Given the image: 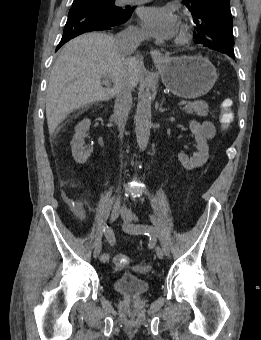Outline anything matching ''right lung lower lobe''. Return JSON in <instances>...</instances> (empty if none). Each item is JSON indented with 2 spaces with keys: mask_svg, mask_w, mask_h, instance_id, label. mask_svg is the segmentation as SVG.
<instances>
[{
  "mask_svg": "<svg viewBox=\"0 0 261 340\" xmlns=\"http://www.w3.org/2000/svg\"><path fill=\"white\" fill-rule=\"evenodd\" d=\"M133 12L128 10L125 15L106 13L98 7L87 5H75L69 11L68 19L64 27L62 39L57 48H60L70 39L90 31H102L113 26L125 23Z\"/></svg>",
  "mask_w": 261,
  "mask_h": 340,
  "instance_id": "obj_1",
  "label": "right lung lower lobe"
}]
</instances>
